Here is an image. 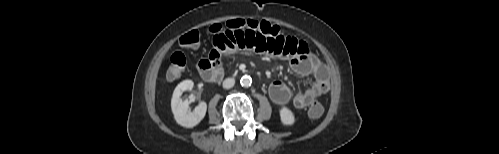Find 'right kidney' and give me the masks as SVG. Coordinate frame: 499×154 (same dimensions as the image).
<instances>
[{"label": "right kidney", "mask_w": 499, "mask_h": 154, "mask_svg": "<svg viewBox=\"0 0 499 154\" xmlns=\"http://www.w3.org/2000/svg\"><path fill=\"white\" fill-rule=\"evenodd\" d=\"M194 83L192 80H184L177 85L173 92L171 108L176 122L186 128H193L205 117L207 104L201 101L191 112L190 101L182 100L181 95L186 90H192Z\"/></svg>", "instance_id": "1"}]
</instances>
